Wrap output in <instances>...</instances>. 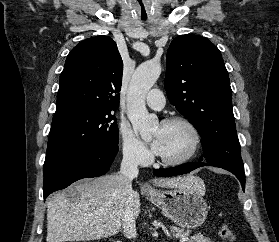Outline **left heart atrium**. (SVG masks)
Wrapping results in <instances>:
<instances>
[{"label": "left heart atrium", "instance_id": "obj_1", "mask_svg": "<svg viewBox=\"0 0 279 242\" xmlns=\"http://www.w3.org/2000/svg\"><path fill=\"white\" fill-rule=\"evenodd\" d=\"M152 149L155 153L159 154L160 153V150H161V141L160 139L157 137V138H154L152 144Z\"/></svg>", "mask_w": 279, "mask_h": 242}]
</instances>
